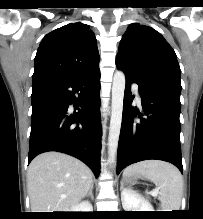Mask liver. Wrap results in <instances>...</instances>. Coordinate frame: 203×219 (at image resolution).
I'll list each match as a JSON object with an SVG mask.
<instances>
[{"instance_id": "liver-1", "label": "liver", "mask_w": 203, "mask_h": 219, "mask_svg": "<svg viewBox=\"0 0 203 219\" xmlns=\"http://www.w3.org/2000/svg\"><path fill=\"white\" fill-rule=\"evenodd\" d=\"M92 171L80 160L45 152L29 165L27 188L32 212H69L88 193Z\"/></svg>"}]
</instances>
